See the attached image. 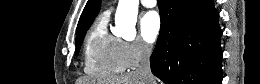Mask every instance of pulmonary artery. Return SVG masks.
I'll list each match as a JSON object with an SVG mask.
<instances>
[{
    "label": "pulmonary artery",
    "instance_id": "e3ab8cb5",
    "mask_svg": "<svg viewBox=\"0 0 260 84\" xmlns=\"http://www.w3.org/2000/svg\"><path fill=\"white\" fill-rule=\"evenodd\" d=\"M141 4L146 8H153L156 6L155 0H141Z\"/></svg>",
    "mask_w": 260,
    "mask_h": 84
}]
</instances>
